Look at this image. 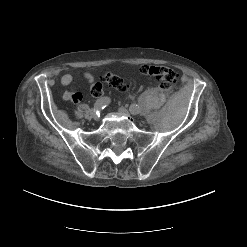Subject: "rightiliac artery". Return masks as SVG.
<instances>
[{
    "label": "right iliac artery",
    "instance_id": "obj_1",
    "mask_svg": "<svg viewBox=\"0 0 247 247\" xmlns=\"http://www.w3.org/2000/svg\"><path fill=\"white\" fill-rule=\"evenodd\" d=\"M110 102H111L110 98L102 97L95 102L93 110H95L96 113L98 114L99 111L104 109L107 105H109Z\"/></svg>",
    "mask_w": 247,
    "mask_h": 247
}]
</instances>
